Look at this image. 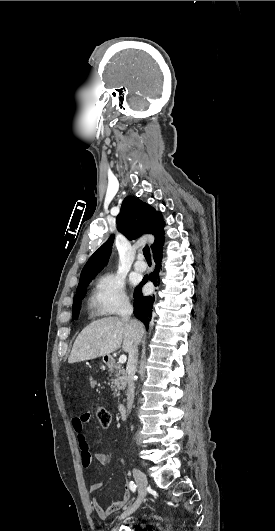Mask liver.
<instances>
[{
	"label": "liver",
	"instance_id": "liver-1",
	"mask_svg": "<svg viewBox=\"0 0 275 531\" xmlns=\"http://www.w3.org/2000/svg\"><path fill=\"white\" fill-rule=\"evenodd\" d=\"M144 329L140 321H124L118 317H104L87 325L78 335L70 353L68 363L90 361L103 355H110L122 345L128 353L134 343H140Z\"/></svg>",
	"mask_w": 275,
	"mask_h": 531
}]
</instances>
